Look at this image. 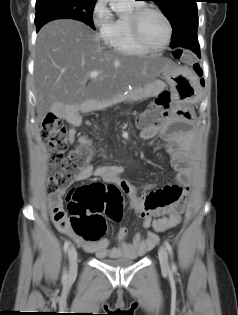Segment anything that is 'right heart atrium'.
<instances>
[{
  "label": "right heart atrium",
  "mask_w": 238,
  "mask_h": 315,
  "mask_svg": "<svg viewBox=\"0 0 238 315\" xmlns=\"http://www.w3.org/2000/svg\"><path fill=\"white\" fill-rule=\"evenodd\" d=\"M113 20L112 13L107 5L106 0H96L91 10V21L101 37Z\"/></svg>",
  "instance_id": "right-heart-atrium-1"
}]
</instances>
